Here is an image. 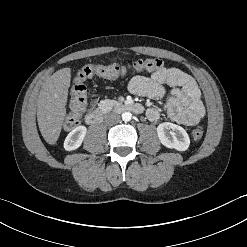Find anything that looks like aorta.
<instances>
[{"label":"aorta","instance_id":"1","mask_svg":"<svg viewBox=\"0 0 247 247\" xmlns=\"http://www.w3.org/2000/svg\"><path fill=\"white\" fill-rule=\"evenodd\" d=\"M132 119V114L130 112L122 113V120L123 121H130Z\"/></svg>","mask_w":247,"mask_h":247}]
</instances>
